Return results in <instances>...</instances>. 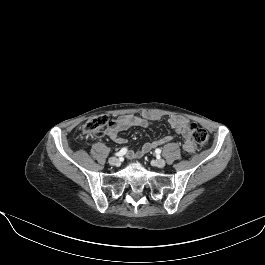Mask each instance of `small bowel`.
<instances>
[{
    "label": "small bowel",
    "instance_id": "obj_1",
    "mask_svg": "<svg viewBox=\"0 0 265 265\" xmlns=\"http://www.w3.org/2000/svg\"><path fill=\"white\" fill-rule=\"evenodd\" d=\"M159 119V115L146 112L141 113L139 115H121L113 122L112 126L107 128L105 134L112 141L118 144H125L127 140L119 136L120 132L127 130L131 127L147 128L149 127L151 122L158 121ZM169 124L178 134L182 136L184 140V152L188 154L194 153L197 147L192 138V133L190 129L191 121L182 115H173L169 118ZM171 139V136L166 135L151 142H146L139 149L126 151V156L132 159H139L153 148L169 143Z\"/></svg>",
    "mask_w": 265,
    "mask_h": 265
}]
</instances>
